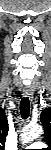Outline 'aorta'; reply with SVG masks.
Listing matches in <instances>:
<instances>
[{"mask_svg":"<svg viewBox=\"0 0 51 150\" xmlns=\"http://www.w3.org/2000/svg\"><path fill=\"white\" fill-rule=\"evenodd\" d=\"M43 133L42 127L39 125H28L22 130L20 142L26 145L34 139L41 136Z\"/></svg>","mask_w":51,"mask_h":150,"instance_id":"obj_1","label":"aorta"}]
</instances>
